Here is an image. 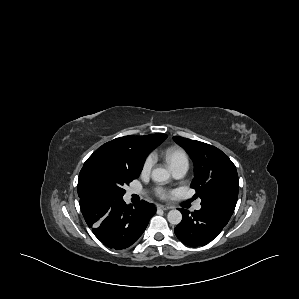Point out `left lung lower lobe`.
Instances as JSON below:
<instances>
[{"instance_id": "obj_1", "label": "left lung lower lobe", "mask_w": 299, "mask_h": 299, "mask_svg": "<svg viewBox=\"0 0 299 299\" xmlns=\"http://www.w3.org/2000/svg\"><path fill=\"white\" fill-rule=\"evenodd\" d=\"M183 219L174 229L178 239L191 247L204 246L212 241L226 226L228 220L215 212L202 208L190 214L180 210Z\"/></svg>"}]
</instances>
